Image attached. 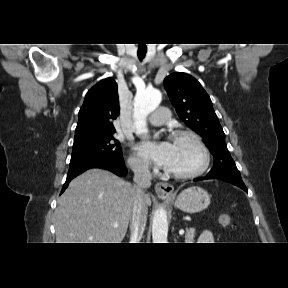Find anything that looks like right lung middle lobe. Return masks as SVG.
Returning <instances> with one entry per match:
<instances>
[{"label": "right lung middle lobe", "instance_id": "right-lung-middle-lobe-1", "mask_svg": "<svg viewBox=\"0 0 288 288\" xmlns=\"http://www.w3.org/2000/svg\"><path fill=\"white\" fill-rule=\"evenodd\" d=\"M92 157H105L116 162H122L121 145L113 134L94 137L73 144L70 163Z\"/></svg>", "mask_w": 288, "mask_h": 288}]
</instances>
